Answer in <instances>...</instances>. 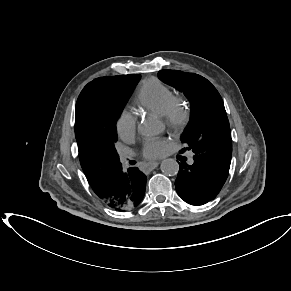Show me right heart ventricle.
Returning <instances> with one entry per match:
<instances>
[{
    "mask_svg": "<svg viewBox=\"0 0 291 291\" xmlns=\"http://www.w3.org/2000/svg\"><path fill=\"white\" fill-rule=\"evenodd\" d=\"M175 94L172 89L157 78L144 80L136 95V106L162 116L173 103Z\"/></svg>",
    "mask_w": 291,
    "mask_h": 291,
    "instance_id": "e07e8e85",
    "label": "right heart ventricle"
}]
</instances>
